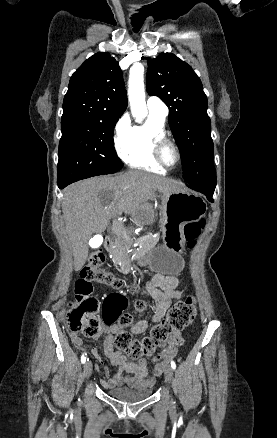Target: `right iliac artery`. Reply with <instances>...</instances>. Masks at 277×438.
Returning <instances> with one entry per match:
<instances>
[{
	"label": "right iliac artery",
	"mask_w": 277,
	"mask_h": 438,
	"mask_svg": "<svg viewBox=\"0 0 277 438\" xmlns=\"http://www.w3.org/2000/svg\"><path fill=\"white\" fill-rule=\"evenodd\" d=\"M81 362H82V363H85V362H86V353H84V354L81 356Z\"/></svg>",
	"instance_id": "82829eb1"
}]
</instances>
